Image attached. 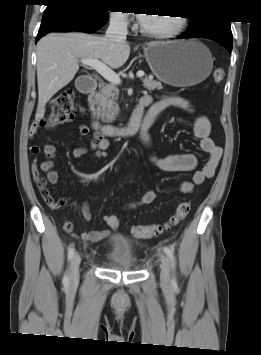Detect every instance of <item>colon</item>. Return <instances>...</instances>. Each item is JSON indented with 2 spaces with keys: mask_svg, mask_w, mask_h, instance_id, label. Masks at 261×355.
I'll return each mask as SVG.
<instances>
[{
  "mask_svg": "<svg viewBox=\"0 0 261 355\" xmlns=\"http://www.w3.org/2000/svg\"><path fill=\"white\" fill-rule=\"evenodd\" d=\"M225 71L217 68L213 72V79L219 83L224 79ZM74 118V94L71 88H64L52 99L50 113L46 119L36 121L39 127H54L69 123ZM190 201L181 202L169 219L162 224L134 225L131 227L132 234L141 239L157 237L177 226L190 212Z\"/></svg>",
  "mask_w": 261,
  "mask_h": 355,
  "instance_id": "1",
  "label": "colon"
}]
</instances>
